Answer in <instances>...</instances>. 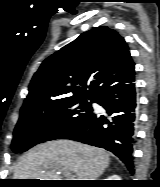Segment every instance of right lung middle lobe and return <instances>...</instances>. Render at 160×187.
Returning <instances> with one entry per match:
<instances>
[{
	"label": "right lung middle lobe",
	"instance_id": "dd1d6c3e",
	"mask_svg": "<svg viewBox=\"0 0 160 187\" xmlns=\"http://www.w3.org/2000/svg\"><path fill=\"white\" fill-rule=\"evenodd\" d=\"M93 102L90 97L76 98L41 110L21 112L12 150L20 153L36 144L69 136L92 114Z\"/></svg>",
	"mask_w": 160,
	"mask_h": 187
}]
</instances>
